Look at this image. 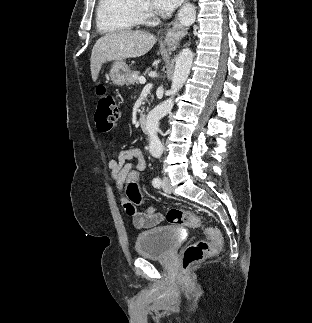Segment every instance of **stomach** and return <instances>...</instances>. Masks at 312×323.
I'll use <instances>...</instances> for the list:
<instances>
[{
	"label": "stomach",
	"mask_w": 312,
	"mask_h": 323,
	"mask_svg": "<svg viewBox=\"0 0 312 323\" xmlns=\"http://www.w3.org/2000/svg\"><path fill=\"white\" fill-rule=\"evenodd\" d=\"M130 74V68L125 62H114L110 70V78L113 84L116 86H124L126 84Z\"/></svg>",
	"instance_id": "stomach-1"
}]
</instances>
